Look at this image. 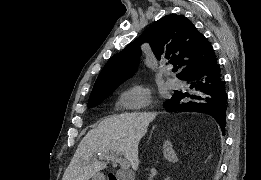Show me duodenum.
I'll use <instances>...</instances> for the list:
<instances>
[{
	"instance_id": "1",
	"label": "duodenum",
	"mask_w": 261,
	"mask_h": 180,
	"mask_svg": "<svg viewBox=\"0 0 261 180\" xmlns=\"http://www.w3.org/2000/svg\"><path fill=\"white\" fill-rule=\"evenodd\" d=\"M106 180H119V177L116 173H111L110 176L106 177Z\"/></svg>"
}]
</instances>
